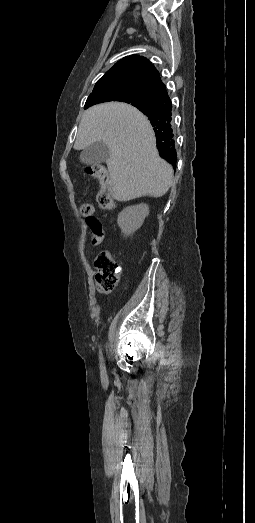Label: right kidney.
Wrapping results in <instances>:
<instances>
[{"mask_svg": "<svg viewBox=\"0 0 255 523\" xmlns=\"http://www.w3.org/2000/svg\"><path fill=\"white\" fill-rule=\"evenodd\" d=\"M149 214L147 204H138V206H128L120 212L117 222L124 236L134 234L142 226L146 216Z\"/></svg>", "mask_w": 255, "mask_h": 523, "instance_id": "1", "label": "right kidney"}]
</instances>
